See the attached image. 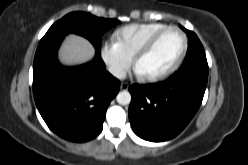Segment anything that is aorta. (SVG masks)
<instances>
[{
  "instance_id": "aorta-1",
  "label": "aorta",
  "mask_w": 248,
  "mask_h": 165,
  "mask_svg": "<svg viewBox=\"0 0 248 165\" xmlns=\"http://www.w3.org/2000/svg\"><path fill=\"white\" fill-rule=\"evenodd\" d=\"M116 100L121 105H128L131 102V95L128 91H121L118 93Z\"/></svg>"
}]
</instances>
